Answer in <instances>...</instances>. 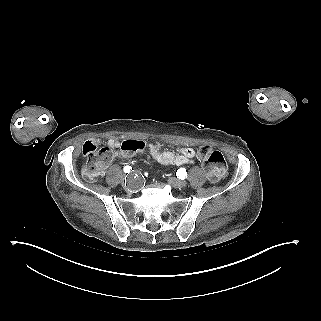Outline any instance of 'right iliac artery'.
<instances>
[{"label": "right iliac artery", "mask_w": 321, "mask_h": 321, "mask_svg": "<svg viewBox=\"0 0 321 321\" xmlns=\"http://www.w3.org/2000/svg\"><path fill=\"white\" fill-rule=\"evenodd\" d=\"M131 169H132L131 166H125V167H124V172H125V173H128V172L131 171Z\"/></svg>", "instance_id": "right-iliac-artery-1"}]
</instances>
